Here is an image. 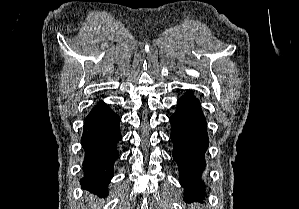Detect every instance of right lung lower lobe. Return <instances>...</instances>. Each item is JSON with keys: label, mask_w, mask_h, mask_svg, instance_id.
Listing matches in <instances>:
<instances>
[{"label": "right lung lower lobe", "mask_w": 299, "mask_h": 209, "mask_svg": "<svg viewBox=\"0 0 299 209\" xmlns=\"http://www.w3.org/2000/svg\"><path fill=\"white\" fill-rule=\"evenodd\" d=\"M119 116L100 101L85 118L81 138L84 149L83 187L107 193L113 176V165L119 157L117 143L121 139Z\"/></svg>", "instance_id": "1"}]
</instances>
